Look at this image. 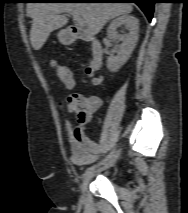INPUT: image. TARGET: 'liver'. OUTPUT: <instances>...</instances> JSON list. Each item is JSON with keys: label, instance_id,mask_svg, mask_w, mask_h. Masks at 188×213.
<instances>
[{"label": "liver", "instance_id": "obj_1", "mask_svg": "<svg viewBox=\"0 0 188 213\" xmlns=\"http://www.w3.org/2000/svg\"><path fill=\"white\" fill-rule=\"evenodd\" d=\"M132 10L131 3H28L27 16L32 18V47L40 50L51 32L67 24L68 18L63 13L82 17L88 33L96 35L108 20Z\"/></svg>", "mask_w": 188, "mask_h": 213}]
</instances>
